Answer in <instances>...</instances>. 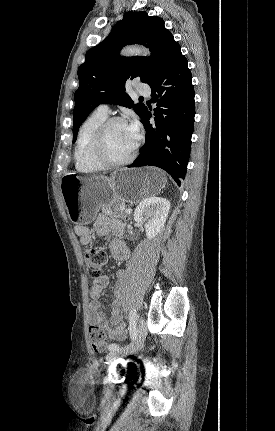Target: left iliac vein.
I'll return each mask as SVG.
<instances>
[{"label":"left iliac vein","mask_w":275,"mask_h":431,"mask_svg":"<svg viewBox=\"0 0 275 431\" xmlns=\"http://www.w3.org/2000/svg\"><path fill=\"white\" fill-rule=\"evenodd\" d=\"M146 334H147V329H146L145 321L141 317L139 320V326H138L137 336L135 340L127 346H124L117 350L110 351L106 356L107 362L112 363L113 361H115L120 357H125L127 355H130L136 352L144 342Z\"/></svg>","instance_id":"1"}]
</instances>
